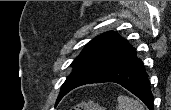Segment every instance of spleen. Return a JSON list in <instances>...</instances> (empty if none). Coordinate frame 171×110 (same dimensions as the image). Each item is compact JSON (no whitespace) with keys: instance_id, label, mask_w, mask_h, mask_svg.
Masks as SVG:
<instances>
[{"instance_id":"spleen-1","label":"spleen","mask_w":171,"mask_h":110,"mask_svg":"<svg viewBox=\"0 0 171 110\" xmlns=\"http://www.w3.org/2000/svg\"><path fill=\"white\" fill-rule=\"evenodd\" d=\"M118 104V110H144V106L140 101L129 96L120 95Z\"/></svg>"}]
</instances>
